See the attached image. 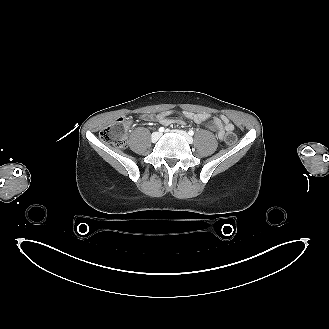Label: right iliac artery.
<instances>
[{
  "label": "right iliac artery",
  "instance_id": "right-iliac-artery-1",
  "mask_svg": "<svg viewBox=\"0 0 329 329\" xmlns=\"http://www.w3.org/2000/svg\"><path fill=\"white\" fill-rule=\"evenodd\" d=\"M164 130H165V129H164L163 127H160V128H159V132H164Z\"/></svg>",
  "mask_w": 329,
  "mask_h": 329
}]
</instances>
